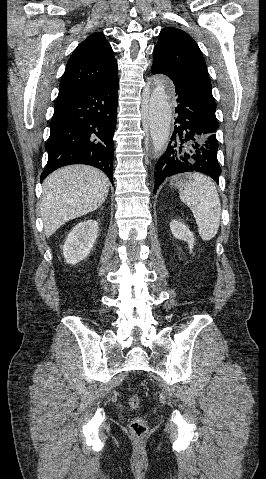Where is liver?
Segmentation results:
<instances>
[{
  "instance_id": "obj_1",
  "label": "liver",
  "mask_w": 266,
  "mask_h": 479,
  "mask_svg": "<svg viewBox=\"0 0 266 479\" xmlns=\"http://www.w3.org/2000/svg\"><path fill=\"white\" fill-rule=\"evenodd\" d=\"M110 181L99 169L71 165L56 170L43 183L40 203L46 237L63 224L98 209L106 200Z\"/></svg>"
}]
</instances>
